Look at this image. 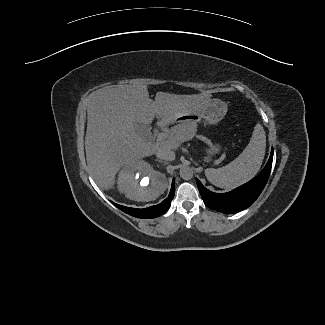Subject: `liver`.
Masks as SVG:
<instances>
[{
    "mask_svg": "<svg viewBox=\"0 0 325 325\" xmlns=\"http://www.w3.org/2000/svg\"><path fill=\"white\" fill-rule=\"evenodd\" d=\"M211 94L177 95L157 92L149 98L146 85H119L98 89L90 94L85 136L86 160L91 177L103 189L115 185L117 172L134 165L158 149L176 150L191 140L196 123H180L170 129L167 140L155 143L136 132L135 123L149 125L154 118L176 120L211 99Z\"/></svg>",
    "mask_w": 325,
    "mask_h": 325,
    "instance_id": "obj_1",
    "label": "liver"
}]
</instances>
